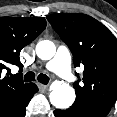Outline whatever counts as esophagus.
I'll list each match as a JSON object with an SVG mask.
<instances>
[{"instance_id": "obj_1", "label": "esophagus", "mask_w": 117, "mask_h": 117, "mask_svg": "<svg viewBox=\"0 0 117 117\" xmlns=\"http://www.w3.org/2000/svg\"><path fill=\"white\" fill-rule=\"evenodd\" d=\"M38 88L41 92H45L47 89H48V86L47 85H43L41 83H38Z\"/></svg>"}]
</instances>
